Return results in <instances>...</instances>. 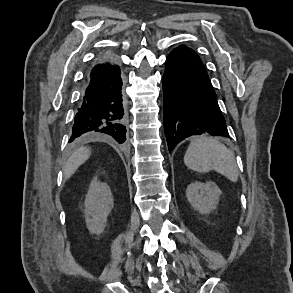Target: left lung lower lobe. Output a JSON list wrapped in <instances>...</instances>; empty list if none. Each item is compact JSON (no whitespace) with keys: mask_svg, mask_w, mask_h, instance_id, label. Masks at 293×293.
<instances>
[{"mask_svg":"<svg viewBox=\"0 0 293 293\" xmlns=\"http://www.w3.org/2000/svg\"><path fill=\"white\" fill-rule=\"evenodd\" d=\"M163 94L164 131L169 152L191 135L229 137L205 67L190 48L181 45L167 57Z\"/></svg>","mask_w":293,"mask_h":293,"instance_id":"obj_1","label":"left lung lower lobe"}]
</instances>
